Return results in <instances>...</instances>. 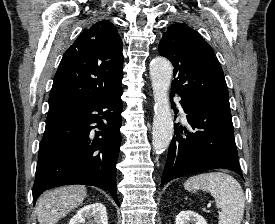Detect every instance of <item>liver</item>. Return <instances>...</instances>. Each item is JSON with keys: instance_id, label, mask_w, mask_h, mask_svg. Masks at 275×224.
I'll return each instance as SVG.
<instances>
[{"instance_id": "1", "label": "liver", "mask_w": 275, "mask_h": 224, "mask_svg": "<svg viewBox=\"0 0 275 224\" xmlns=\"http://www.w3.org/2000/svg\"><path fill=\"white\" fill-rule=\"evenodd\" d=\"M87 194L83 185H69L43 193L36 203L39 224H56L80 206Z\"/></svg>"}]
</instances>
